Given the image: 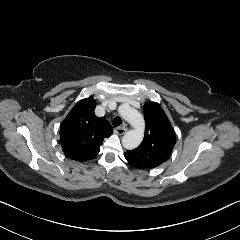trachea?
Returning a JSON list of instances; mask_svg holds the SVG:
<instances>
[{"label":"trachea","instance_id":"1","mask_svg":"<svg viewBox=\"0 0 240 240\" xmlns=\"http://www.w3.org/2000/svg\"><path fill=\"white\" fill-rule=\"evenodd\" d=\"M113 126L118 127L122 124V119L119 116H116L112 121Z\"/></svg>","mask_w":240,"mask_h":240}]
</instances>
